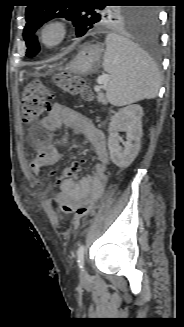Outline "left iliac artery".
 I'll return each mask as SVG.
<instances>
[{
    "mask_svg": "<svg viewBox=\"0 0 184 327\" xmlns=\"http://www.w3.org/2000/svg\"><path fill=\"white\" fill-rule=\"evenodd\" d=\"M84 252H85V246L82 244L79 246L78 251H77V259H78V264H79L80 268H83Z\"/></svg>",
    "mask_w": 184,
    "mask_h": 327,
    "instance_id": "44dca946",
    "label": "left iliac artery"
}]
</instances>
